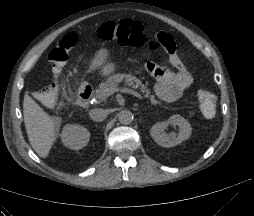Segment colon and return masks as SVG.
Here are the masks:
<instances>
[{
  "mask_svg": "<svg viewBox=\"0 0 254 216\" xmlns=\"http://www.w3.org/2000/svg\"><path fill=\"white\" fill-rule=\"evenodd\" d=\"M97 35L103 40L116 41L122 46H146L151 51L164 50L160 44L155 42L154 36L149 37L145 34L143 25L136 21L123 20L118 23H103L98 28ZM77 41L78 37L75 33H68L49 52L48 60L55 78H58L61 74ZM36 97L45 106H54L59 98L57 83L53 82L44 88V90L37 92ZM197 98L202 114L206 118H213L217 111V99L215 95L207 89H199Z\"/></svg>",
  "mask_w": 254,
  "mask_h": 216,
  "instance_id": "5ec220e1",
  "label": "colon"
}]
</instances>
